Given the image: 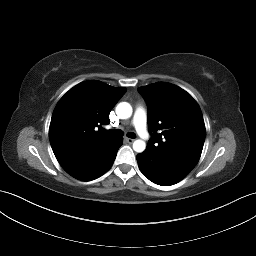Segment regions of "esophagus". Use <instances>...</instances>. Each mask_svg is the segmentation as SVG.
<instances>
[{
	"instance_id": "1",
	"label": "esophagus",
	"mask_w": 256,
	"mask_h": 256,
	"mask_svg": "<svg viewBox=\"0 0 256 256\" xmlns=\"http://www.w3.org/2000/svg\"><path fill=\"white\" fill-rule=\"evenodd\" d=\"M125 141L129 144L133 143L134 142V139H131V138H125Z\"/></svg>"
}]
</instances>
